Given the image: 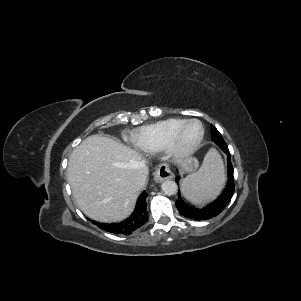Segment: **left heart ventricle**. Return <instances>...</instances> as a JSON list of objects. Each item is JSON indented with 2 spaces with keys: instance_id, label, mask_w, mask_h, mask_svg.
I'll return each instance as SVG.
<instances>
[{
  "instance_id": "left-heart-ventricle-1",
  "label": "left heart ventricle",
  "mask_w": 301,
  "mask_h": 301,
  "mask_svg": "<svg viewBox=\"0 0 301 301\" xmlns=\"http://www.w3.org/2000/svg\"><path fill=\"white\" fill-rule=\"evenodd\" d=\"M201 127L198 123H192L185 130L182 137V145L190 146L192 145L200 136Z\"/></svg>"
}]
</instances>
